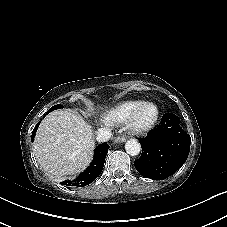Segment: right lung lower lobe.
Wrapping results in <instances>:
<instances>
[{"mask_svg": "<svg viewBox=\"0 0 227 227\" xmlns=\"http://www.w3.org/2000/svg\"><path fill=\"white\" fill-rule=\"evenodd\" d=\"M39 124L40 122L36 124L33 130L31 137L32 142L34 141L35 133L37 131ZM108 149L109 145L107 143H102L101 145H99L94 151V158L90 166L75 180L64 181L61 184L67 186L83 187L92 183L100 175L103 169Z\"/></svg>", "mask_w": 227, "mask_h": 227, "instance_id": "98d812e1", "label": "right lung lower lobe"}]
</instances>
